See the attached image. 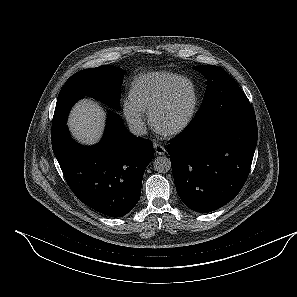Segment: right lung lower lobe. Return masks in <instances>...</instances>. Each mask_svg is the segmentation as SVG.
<instances>
[{
  "mask_svg": "<svg viewBox=\"0 0 297 297\" xmlns=\"http://www.w3.org/2000/svg\"><path fill=\"white\" fill-rule=\"evenodd\" d=\"M51 140L67 184L84 204L110 217L134 208L154 154L150 140L131 135L115 113L108 115L103 138L94 146L74 142L66 124Z\"/></svg>",
  "mask_w": 297,
  "mask_h": 297,
  "instance_id": "1",
  "label": "right lung lower lobe"
}]
</instances>
